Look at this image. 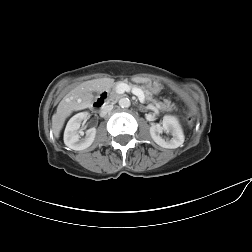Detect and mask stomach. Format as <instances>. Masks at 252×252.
Instances as JSON below:
<instances>
[{
  "label": "stomach",
  "mask_w": 252,
  "mask_h": 252,
  "mask_svg": "<svg viewBox=\"0 0 252 252\" xmlns=\"http://www.w3.org/2000/svg\"><path fill=\"white\" fill-rule=\"evenodd\" d=\"M162 86L158 81H148L145 83L144 85V89L148 90L149 92L156 94L158 92H160Z\"/></svg>",
  "instance_id": "1"
}]
</instances>
